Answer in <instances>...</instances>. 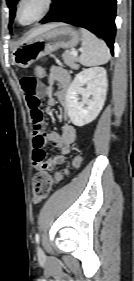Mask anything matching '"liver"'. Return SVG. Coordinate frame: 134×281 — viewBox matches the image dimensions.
I'll return each instance as SVG.
<instances>
[{"label":"liver","mask_w":134,"mask_h":281,"mask_svg":"<svg viewBox=\"0 0 134 281\" xmlns=\"http://www.w3.org/2000/svg\"><path fill=\"white\" fill-rule=\"evenodd\" d=\"M56 26V24H48V25H43L39 28L33 29L30 34L26 37V39L24 40V42L34 38L35 36L51 29L52 27Z\"/></svg>","instance_id":"obj_1"}]
</instances>
